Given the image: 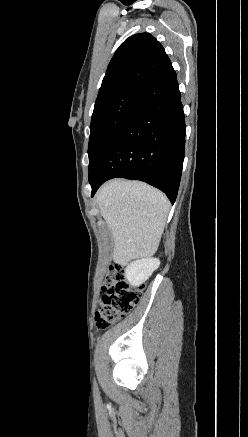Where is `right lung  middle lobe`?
Returning a JSON list of instances; mask_svg holds the SVG:
<instances>
[{
  "instance_id": "obj_1",
  "label": "right lung middle lobe",
  "mask_w": 248,
  "mask_h": 437,
  "mask_svg": "<svg viewBox=\"0 0 248 437\" xmlns=\"http://www.w3.org/2000/svg\"><path fill=\"white\" fill-rule=\"evenodd\" d=\"M139 93L138 91L125 92L94 108L88 146L89 171L103 147L124 120Z\"/></svg>"
}]
</instances>
